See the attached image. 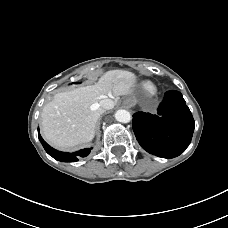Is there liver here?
I'll return each mask as SVG.
<instances>
[{
	"instance_id": "6515ba94",
	"label": "liver",
	"mask_w": 228,
	"mask_h": 228,
	"mask_svg": "<svg viewBox=\"0 0 228 228\" xmlns=\"http://www.w3.org/2000/svg\"><path fill=\"white\" fill-rule=\"evenodd\" d=\"M135 76L124 70L106 72L90 86L61 92L43 108L41 129L44 138L56 148L68 149L91 141L104 109L102 99L116 104L118 97L131 93Z\"/></svg>"
}]
</instances>
